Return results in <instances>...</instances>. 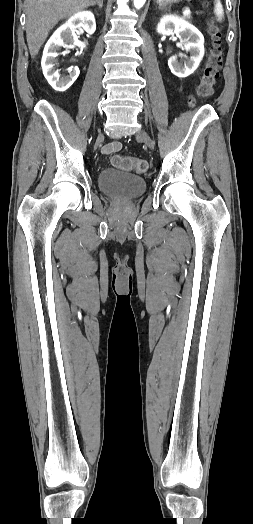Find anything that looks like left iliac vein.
<instances>
[{
  "instance_id": "obj_1",
  "label": "left iliac vein",
  "mask_w": 253,
  "mask_h": 524,
  "mask_svg": "<svg viewBox=\"0 0 253 524\" xmlns=\"http://www.w3.org/2000/svg\"><path fill=\"white\" fill-rule=\"evenodd\" d=\"M137 137L142 139L149 148H154L153 141L151 140L149 135L144 130L139 131L137 133Z\"/></svg>"
}]
</instances>
